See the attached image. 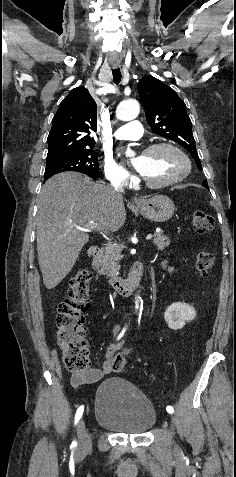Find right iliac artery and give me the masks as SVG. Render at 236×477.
Masks as SVG:
<instances>
[{
  "instance_id": "right-iliac-artery-1",
  "label": "right iliac artery",
  "mask_w": 236,
  "mask_h": 477,
  "mask_svg": "<svg viewBox=\"0 0 236 477\" xmlns=\"http://www.w3.org/2000/svg\"><path fill=\"white\" fill-rule=\"evenodd\" d=\"M125 331H126V328H124V329L122 330V332H121L120 335L118 336V339H120V338L124 335ZM83 412H84V406L82 405V406H80V407L77 409V411H76V414H75V424H77V423L79 422V420L81 419V417H82V415H83ZM76 445H77V442L74 440V441L72 442V446H76Z\"/></svg>"
}]
</instances>
